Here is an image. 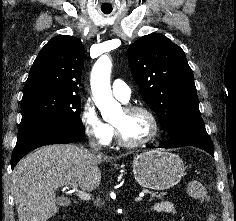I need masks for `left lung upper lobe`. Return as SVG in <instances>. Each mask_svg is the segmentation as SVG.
I'll list each match as a JSON object with an SVG mask.
<instances>
[{
	"label": "left lung upper lobe",
	"mask_w": 236,
	"mask_h": 221,
	"mask_svg": "<svg viewBox=\"0 0 236 221\" xmlns=\"http://www.w3.org/2000/svg\"><path fill=\"white\" fill-rule=\"evenodd\" d=\"M128 59L143 100L157 113L165 132L204 124L193 73L182 48L164 35L152 33L133 43Z\"/></svg>",
	"instance_id": "obj_1"
}]
</instances>
